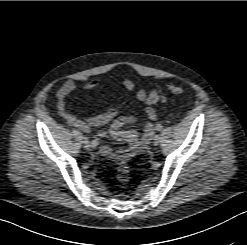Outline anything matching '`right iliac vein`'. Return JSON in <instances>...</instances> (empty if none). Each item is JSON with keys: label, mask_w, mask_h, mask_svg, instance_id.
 Returning a JSON list of instances; mask_svg holds the SVG:
<instances>
[{"label": "right iliac vein", "mask_w": 247, "mask_h": 245, "mask_svg": "<svg viewBox=\"0 0 247 245\" xmlns=\"http://www.w3.org/2000/svg\"><path fill=\"white\" fill-rule=\"evenodd\" d=\"M83 143L86 149H90V144L86 137H83Z\"/></svg>", "instance_id": "right-iliac-vein-1"}]
</instances>
